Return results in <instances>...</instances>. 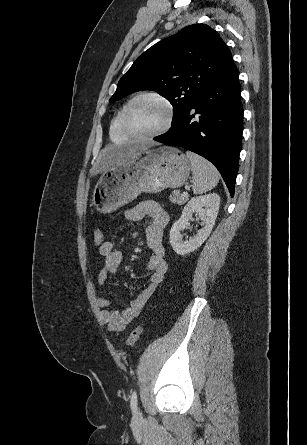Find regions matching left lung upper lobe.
I'll return each instance as SVG.
<instances>
[{"mask_svg": "<svg viewBox=\"0 0 307 445\" xmlns=\"http://www.w3.org/2000/svg\"><path fill=\"white\" fill-rule=\"evenodd\" d=\"M231 62V53L218 33L208 25L193 24L139 56L109 102L136 91L154 90L173 105V126Z\"/></svg>", "mask_w": 307, "mask_h": 445, "instance_id": "1", "label": "left lung upper lobe"}]
</instances>
